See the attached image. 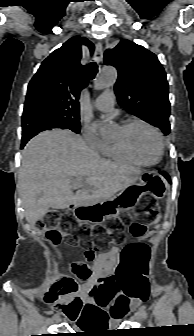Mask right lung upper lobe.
<instances>
[{"label":"right lung upper lobe","mask_w":194,"mask_h":336,"mask_svg":"<svg viewBox=\"0 0 194 336\" xmlns=\"http://www.w3.org/2000/svg\"><path fill=\"white\" fill-rule=\"evenodd\" d=\"M82 43L93 52L91 42L76 36L42 62L28 86L22 123L42 116L80 119L78 99L80 91L88 85L86 65L80 64ZM37 133L23 137L22 143L28 142Z\"/></svg>","instance_id":"cb5924a9"}]
</instances>
